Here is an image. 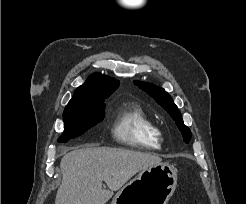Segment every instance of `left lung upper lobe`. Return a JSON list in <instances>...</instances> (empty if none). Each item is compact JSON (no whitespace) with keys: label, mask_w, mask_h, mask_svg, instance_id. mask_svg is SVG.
I'll use <instances>...</instances> for the list:
<instances>
[{"label":"left lung upper lobe","mask_w":246,"mask_h":204,"mask_svg":"<svg viewBox=\"0 0 246 204\" xmlns=\"http://www.w3.org/2000/svg\"><path fill=\"white\" fill-rule=\"evenodd\" d=\"M134 83L139 88L147 92L151 97H153L155 101L169 113V115L176 122V125L181 131L184 142L188 143L191 138V131L187 126L184 125L181 113L178 110L177 106L174 104L170 95L164 89L158 86H154L151 83H144L139 81H134Z\"/></svg>","instance_id":"obj_1"}]
</instances>
